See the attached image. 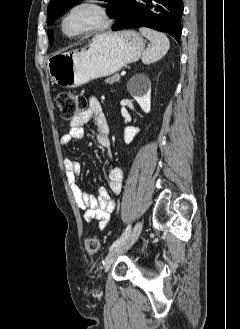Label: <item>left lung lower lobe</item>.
I'll return each mask as SVG.
<instances>
[{
  "mask_svg": "<svg viewBox=\"0 0 240 329\" xmlns=\"http://www.w3.org/2000/svg\"><path fill=\"white\" fill-rule=\"evenodd\" d=\"M183 10L182 0H126L112 30L148 27L168 33L179 42Z\"/></svg>",
  "mask_w": 240,
  "mask_h": 329,
  "instance_id": "obj_1",
  "label": "left lung lower lobe"
}]
</instances>
